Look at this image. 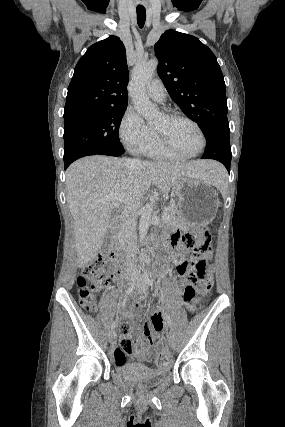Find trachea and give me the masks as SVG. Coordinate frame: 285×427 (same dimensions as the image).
Here are the masks:
<instances>
[{
  "label": "trachea",
  "instance_id": "1",
  "mask_svg": "<svg viewBox=\"0 0 285 427\" xmlns=\"http://www.w3.org/2000/svg\"><path fill=\"white\" fill-rule=\"evenodd\" d=\"M146 20V10L144 7H137V23L140 28H143Z\"/></svg>",
  "mask_w": 285,
  "mask_h": 427
}]
</instances>
